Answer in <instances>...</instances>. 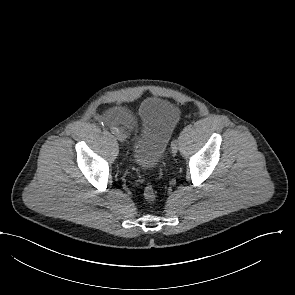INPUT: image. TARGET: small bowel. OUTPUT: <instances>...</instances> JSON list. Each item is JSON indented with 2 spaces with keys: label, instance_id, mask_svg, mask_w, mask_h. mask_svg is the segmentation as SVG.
Here are the masks:
<instances>
[{
  "label": "small bowel",
  "instance_id": "1",
  "mask_svg": "<svg viewBox=\"0 0 295 295\" xmlns=\"http://www.w3.org/2000/svg\"><path fill=\"white\" fill-rule=\"evenodd\" d=\"M106 124L112 126H122L125 129H132L136 125L134 116L127 110L113 108L103 117Z\"/></svg>",
  "mask_w": 295,
  "mask_h": 295
}]
</instances>
